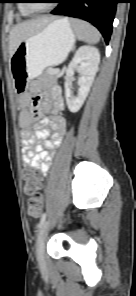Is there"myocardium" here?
<instances>
[{"label": "myocardium", "mask_w": 136, "mask_h": 296, "mask_svg": "<svg viewBox=\"0 0 136 296\" xmlns=\"http://www.w3.org/2000/svg\"><path fill=\"white\" fill-rule=\"evenodd\" d=\"M25 6L29 11L33 13L41 12L48 9V6L37 7L33 3H30L29 0H25Z\"/></svg>", "instance_id": "myocardium-1"}]
</instances>
